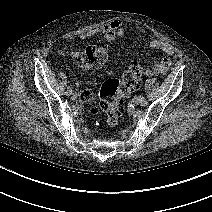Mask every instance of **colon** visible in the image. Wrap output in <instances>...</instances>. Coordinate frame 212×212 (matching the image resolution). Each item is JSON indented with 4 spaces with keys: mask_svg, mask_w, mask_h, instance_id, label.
I'll return each mask as SVG.
<instances>
[{
    "mask_svg": "<svg viewBox=\"0 0 212 212\" xmlns=\"http://www.w3.org/2000/svg\"><path fill=\"white\" fill-rule=\"evenodd\" d=\"M108 60V51L104 46H90L81 54V67L90 70L103 66ZM148 71L139 62H132L124 71L121 79L105 80L99 90L100 102L98 106L91 104L92 94L89 93L85 102L88 103L92 115L102 113L108 127H116L119 123L123 106L132 89L147 76Z\"/></svg>",
    "mask_w": 212,
    "mask_h": 212,
    "instance_id": "5ec220e1",
    "label": "colon"
}]
</instances>
